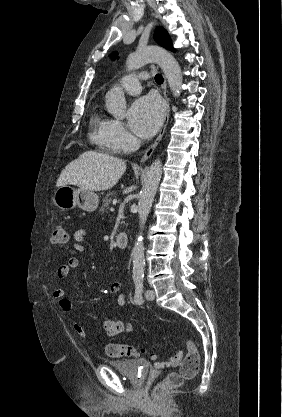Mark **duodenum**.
Segmentation results:
<instances>
[{"instance_id":"duodenum-1","label":"duodenum","mask_w":282,"mask_h":417,"mask_svg":"<svg viewBox=\"0 0 282 417\" xmlns=\"http://www.w3.org/2000/svg\"><path fill=\"white\" fill-rule=\"evenodd\" d=\"M115 245L120 249H125L128 244V235L126 233H118L114 239Z\"/></svg>"}]
</instances>
